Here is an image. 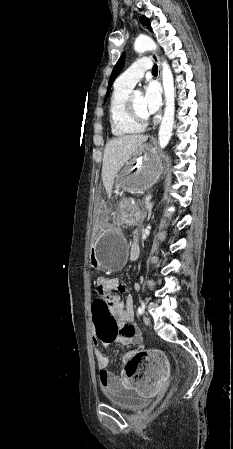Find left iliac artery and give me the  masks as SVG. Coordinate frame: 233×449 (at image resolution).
I'll return each instance as SVG.
<instances>
[{
  "label": "left iliac artery",
  "mask_w": 233,
  "mask_h": 449,
  "mask_svg": "<svg viewBox=\"0 0 233 449\" xmlns=\"http://www.w3.org/2000/svg\"><path fill=\"white\" fill-rule=\"evenodd\" d=\"M144 312V303L143 301L140 302V306L138 307V314L141 316Z\"/></svg>",
  "instance_id": "44dca946"
}]
</instances>
